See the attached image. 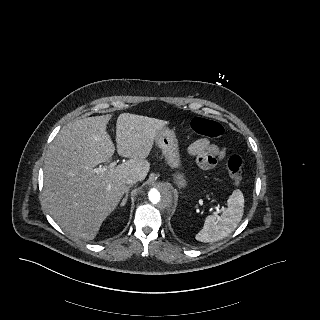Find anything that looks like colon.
I'll list each match as a JSON object with an SVG mask.
<instances>
[{
	"instance_id": "1",
	"label": "colon",
	"mask_w": 320,
	"mask_h": 320,
	"mask_svg": "<svg viewBox=\"0 0 320 320\" xmlns=\"http://www.w3.org/2000/svg\"><path fill=\"white\" fill-rule=\"evenodd\" d=\"M192 129L201 135H205L212 138L220 137L223 132V126L220 122L206 118L196 117L191 122ZM230 178L235 184H240L243 179V172L245 169V160L241 155H232L227 162Z\"/></svg>"
}]
</instances>
